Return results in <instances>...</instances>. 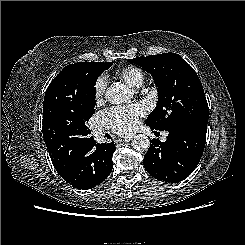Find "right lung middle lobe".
<instances>
[{
	"instance_id": "right-lung-middle-lobe-1",
	"label": "right lung middle lobe",
	"mask_w": 245,
	"mask_h": 245,
	"mask_svg": "<svg viewBox=\"0 0 245 245\" xmlns=\"http://www.w3.org/2000/svg\"><path fill=\"white\" fill-rule=\"evenodd\" d=\"M77 65L80 84L87 99V106L84 109L81 120L76 126V132L80 135H88L90 134V130L86 126V122L94 114L96 95L94 86L99 75L111 67L112 62H78Z\"/></svg>"
}]
</instances>
